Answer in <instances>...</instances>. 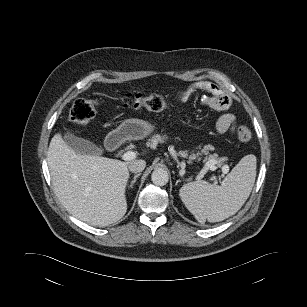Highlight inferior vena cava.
Masks as SVG:
<instances>
[{
    "mask_svg": "<svg viewBox=\"0 0 307 307\" xmlns=\"http://www.w3.org/2000/svg\"><path fill=\"white\" fill-rule=\"evenodd\" d=\"M146 167V162L144 160H134L128 165V169L131 172L137 173L142 172Z\"/></svg>",
    "mask_w": 307,
    "mask_h": 307,
    "instance_id": "1",
    "label": "inferior vena cava"
}]
</instances>
